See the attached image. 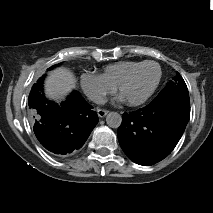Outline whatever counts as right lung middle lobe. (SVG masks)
I'll return each instance as SVG.
<instances>
[{
	"label": "right lung middle lobe",
	"mask_w": 213,
	"mask_h": 213,
	"mask_svg": "<svg viewBox=\"0 0 213 213\" xmlns=\"http://www.w3.org/2000/svg\"><path fill=\"white\" fill-rule=\"evenodd\" d=\"M59 65H60V64L53 65L52 67L49 68V70L52 69V68H54V67H56V66H59ZM41 79H43V78H41ZM39 80H40V79H39ZM39 80H38V81H39Z\"/></svg>",
	"instance_id": "dd1d6c3e"
}]
</instances>
